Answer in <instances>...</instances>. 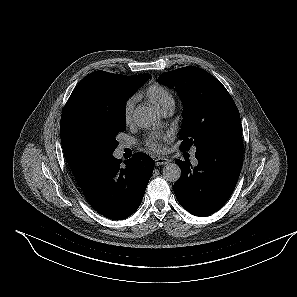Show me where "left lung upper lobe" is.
Masks as SVG:
<instances>
[{
	"instance_id": "left-lung-upper-lobe-1",
	"label": "left lung upper lobe",
	"mask_w": 297,
	"mask_h": 297,
	"mask_svg": "<svg viewBox=\"0 0 297 297\" xmlns=\"http://www.w3.org/2000/svg\"><path fill=\"white\" fill-rule=\"evenodd\" d=\"M158 82L176 89L183 104L180 150H204L242 134L239 111L221 82L207 71L187 66L163 73Z\"/></svg>"
}]
</instances>
